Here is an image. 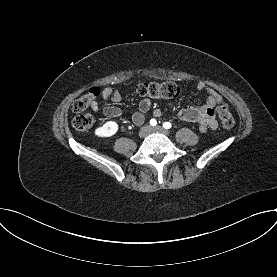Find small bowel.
<instances>
[{
  "mask_svg": "<svg viewBox=\"0 0 277 277\" xmlns=\"http://www.w3.org/2000/svg\"><path fill=\"white\" fill-rule=\"evenodd\" d=\"M197 88L208 93L206 103L202 106H187L181 108L177 113L178 118L182 121L197 123L201 131H206L208 128L214 129L216 128L215 106L223 104V98L215 89L205 82H199ZM101 96L103 100H111L114 103H118L122 99L119 90L112 87L103 88L101 90ZM168 105L174 106L172 102H169ZM91 107L93 111H99V106L96 100L92 102ZM150 107V99H143L139 104L138 110L131 115V121L135 125H142L145 121V113ZM102 113L108 118H117L122 115V109L114 105H108L102 109ZM153 115L155 117H160L162 111L160 109H155Z\"/></svg>",
  "mask_w": 277,
  "mask_h": 277,
  "instance_id": "c3829d8e",
  "label": "small bowel"
}]
</instances>
